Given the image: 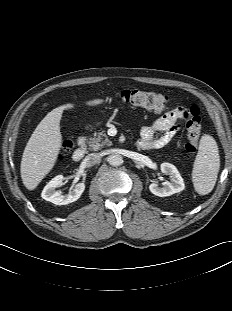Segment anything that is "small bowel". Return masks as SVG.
Instances as JSON below:
<instances>
[{
    "label": "small bowel",
    "mask_w": 232,
    "mask_h": 311,
    "mask_svg": "<svg viewBox=\"0 0 232 311\" xmlns=\"http://www.w3.org/2000/svg\"><path fill=\"white\" fill-rule=\"evenodd\" d=\"M185 109L177 107L166 112L151 125L143 127L137 147L142 150H157L169 144L179 129L178 122L183 119ZM158 133L160 135L156 136Z\"/></svg>",
    "instance_id": "1"
}]
</instances>
